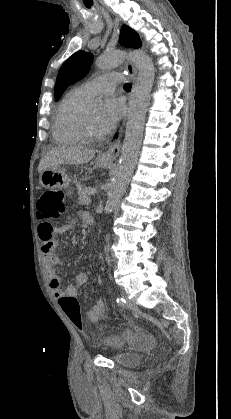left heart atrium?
<instances>
[{"label": "left heart atrium", "instance_id": "left-heart-atrium-1", "mask_svg": "<svg viewBox=\"0 0 231 419\" xmlns=\"http://www.w3.org/2000/svg\"><path fill=\"white\" fill-rule=\"evenodd\" d=\"M123 112L122 103L115 97H109L99 112L98 125L102 134L109 133L117 125Z\"/></svg>", "mask_w": 231, "mask_h": 419}]
</instances>
